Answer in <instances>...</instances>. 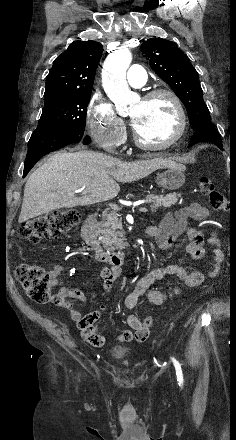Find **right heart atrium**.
I'll return each instance as SVG.
<instances>
[{"label":"right heart atrium","mask_w":236,"mask_h":440,"mask_svg":"<svg viewBox=\"0 0 236 440\" xmlns=\"http://www.w3.org/2000/svg\"><path fill=\"white\" fill-rule=\"evenodd\" d=\"M86 123L92 139L99 147L110 152L118 149L125 133L124 124L100 93H95L89 101Z\"/></svg>","instance_id":"1"}]
</instances>
